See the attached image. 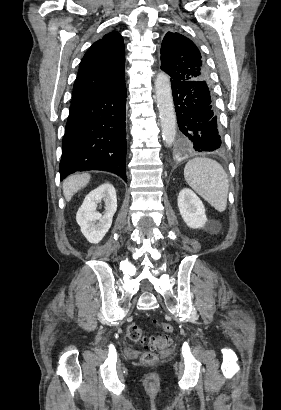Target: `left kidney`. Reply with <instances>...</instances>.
Returning a JSON list of instances; mask_svg holds the SVG:
<instances>
[{
    "label": "left kidney",
    "mask_w": 281,
    "mask_h": 410,
    "mask_svg": "<svg viewBox=\"0 0 281 410\" xmlns=\"http://www.w3.org/2000/svg\"><path fill=\"white\" fill-rule=\"evenodd\" d=\"M178 208L184 222L193 229L203 227L207 217L200 198L189 188H184L178 195Z\"/></svg>",
    "instance_id": "obj_1"
}]
</instances>
